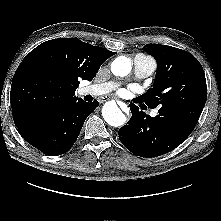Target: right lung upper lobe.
Wrapping results in <instances>:
<instances>
[{
	"instance_id": "cb5924a9",
	"label": "right lung upper lobe",
	"mask_w": 221,
	"mask_h": 221,
	"mask_svg": "<svg viewBox=\"0 0 221 221\" xmlns=\"http://www.w3.org/2000/svg\"><path fill=\"white\" fill-rule=\"evenodd\" d=\"M115 53L75 38L53 39L37 46L21 62L12 80L15 125L77 101L79 81H91Z\"/></svg>"
}]
</instances>
